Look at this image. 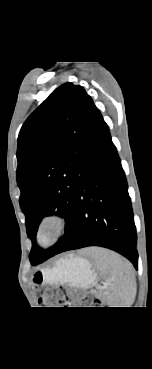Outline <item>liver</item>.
<instances>
[{
    "mask_svg": "<svg viewBox=\"0 0 152 369\" xmlns=\"http://www.w3.org/2000/svg\"><path fill=\"white\" fill-rule=\"evenodd\" d=\"M93 251H94V249H88V250H87V253L92 254V253H93Z\"/></svg>",
    "mask_w": 152,
    "mask_h": 369,
    "instance_id": "obj_1",
    "label": "liver"
}]
</instances>
